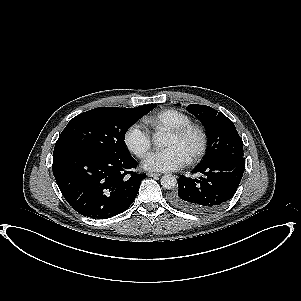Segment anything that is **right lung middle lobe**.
Returning <instances> with one entry per match:
<instances>
[{
    "instance_id": "obj_1",
    "label": "right lung middle lobe",
    "mask_w": 301,
    "mask_h": 301,
    "mask_svg": "<svg viewBox=\"0 0 301 301\" xmlns=\"http://www.w3.org/2000/svg\"><path fill=\"white\" fill-rule=\"evenodd\" d=\"M156 104L136 108L99 107L70 120L60 134L53 156L74 150H91L126 155L124 139L127 129Z\"/></svg>"
}]
</instances>
